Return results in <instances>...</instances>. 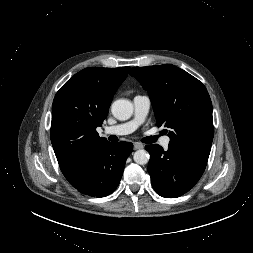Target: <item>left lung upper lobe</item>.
<instances>
[{"mask_svg": "<svg viewBox=\"0 0 253 253\" xmlns=\"http://www.w3.org/2000/svg\"><path fill=\"white\" fill-rule=\"evenodd\" d=\"M130 75L148 92L158 127L169 129V147L208 161L214 128L205 86L171 64L133 67Z\"/></svg>", "mask_w": 253, "mask_h": 253, "instance_id": "5c2ea615", "label": "left lung upper lobe"}]
</instances>
